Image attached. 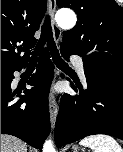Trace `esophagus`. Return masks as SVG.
I'll return each mask as SVG.
<instances>
[{"label": "esophagus", "instance_id": "34e87169", "mask_svg": "<svg viewBox=\"0 0 123 152\" xmlns=\"http://www.w3.org/2000/svg\"><path fill=\"white\" fill-rule=\"evenodd\" d=\"M48 5H49V14L51 17L53 38L56 44H58L61 39V29L57 26L54 20V14L56 11V0H48ZM49 113H50L51 127L54 128L58 114V103L56 97L53 94H51L49 99Z\"/></svg>", "mask_w": 123, "mask_h": 152}]
</instances>
